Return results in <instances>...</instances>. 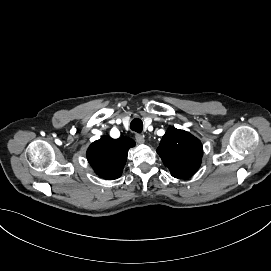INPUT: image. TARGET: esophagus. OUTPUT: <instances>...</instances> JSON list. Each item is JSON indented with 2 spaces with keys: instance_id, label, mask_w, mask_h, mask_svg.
I'll list each match as a JSON object with an SVG mask.
<instances>
[{
  "instance_id": "esophagus-1",
  "label": "esophagus",
  "mask_w": 271,
  "mask_h": 271,
  "mask_svg": "<svg viewBox=\"0 0 271 271\" xmlns=\"http://www.w3.org/2000/svg\"><path fill=\"white\" fill-rule=\"evenodd\" d=\"M135 139L139 144H143L145 142V138L141 134L135 135Z\"/></svg>"
}]
</instances>
